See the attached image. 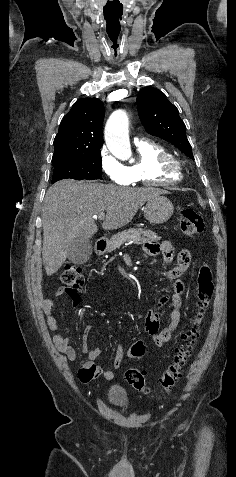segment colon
<instances>
[{"instance_id":"obj_1","label":"colon","mask_w":236,"mask_h":477,"mask_svg":"<svg viewBox=\"0 0 236 477\" xmlns=\"http://www.w3.org/2000/svg\"><path fill=\"white\" fill-rule=\"evenodd\" d=\"M204 229L203 218L193 209H185L180 216V230L185 237H194ZM61 282L68 293H72L83 287L85 278L82 270L76 265H67L62 274ZM214 292L212 272L208 265H203L197 277V301L195 312L191 318L189 327L181 333V345L176 349L171 363L162 373L160 383L162 388L170 392L182 377L184 366L190 357L209 308ZM146 353L143 342L134 343L128 350L129 359H140ZM127 383L134 389L149 393L145 375L138 369H129L125 373Z\"/></svg>"}]
</instances>
